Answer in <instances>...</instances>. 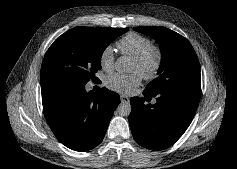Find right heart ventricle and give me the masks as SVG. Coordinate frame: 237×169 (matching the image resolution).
<instances>
[{"instance_id": "e07e8e85", "label": "right heart ventricle", "mask_w": 237, "mask_h": 169, "mask_svg": "<svg viewBox=\"0 0 237 169\" xmlns=\"http://www.w3.org/2000/svg\"><path fill=\"white\" fill-rule=\"evenodd\" d=\"M151 45L152 42L148 37L134 32L127 34L117 42L120 51L131 57L142 53Z\"/></svg>"}]
</instances>
